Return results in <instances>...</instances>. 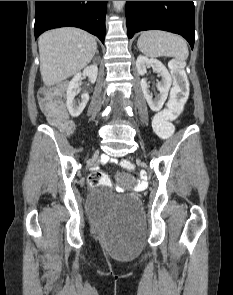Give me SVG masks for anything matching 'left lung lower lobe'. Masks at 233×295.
Returning <instances> with one entry per match:
<instances>
[{
  "instance_id": "0a47b994",
  "label": "left lung lower lobe",
  "mask_w": 233,
  "mask_h": 295,
  "mask_svg": "<svg viewBox=\"0 0 233 295\" xmlns=\"http://www.w3.org/2000/svg\"><path fill=\"white\" fill-rule=\"evenodd\" d=\"M194 11L193 1H127L128 38L144 30H165L182 35L193 49Z\"/></svg>"
}]
</instances>
